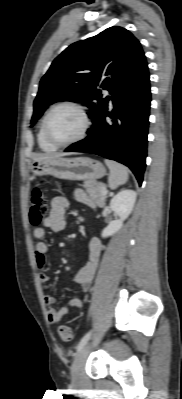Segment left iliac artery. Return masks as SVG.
I'll use <instances>...</instances> for the list:
<instances>
[{"label": "left iliac artery", "mask_w": 182, "mask_h": 399, "mask_svg": "<svg viewBox=\"0 0 182 399\" xmlns=\"http://www.w3.org/2000/svg\"><path fill=\"white\" fill-rule=\"evenodd\" d=\"M90 336H91V331H89L83 336V338L80 340L79 344L77 345V351L81 350L86 345V343L90 339Z\"/></svg>", "instance_id": "obj_1"}]
</instances>
